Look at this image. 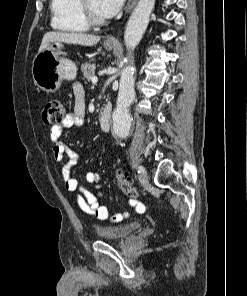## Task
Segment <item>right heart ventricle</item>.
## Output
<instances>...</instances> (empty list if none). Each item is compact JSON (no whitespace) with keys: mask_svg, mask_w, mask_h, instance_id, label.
I'll return each mask as SVG.
<instances>
[{"mask_svg":"<svg viewBox=\"0 0 247 296\" xmlns=\"http://www.w3.org/2000/svg\"><path fill=\"white\" fill-rule=\"evenodd\" d=\"M79 4L80 0H51V27L54 30L66 33L87 31L89 25L81 16Z\"/></svg>","mask_w":247,"mask_h":296,"instance_id":"1","label":"right heart ventricle"}]
</instances>
